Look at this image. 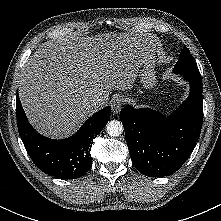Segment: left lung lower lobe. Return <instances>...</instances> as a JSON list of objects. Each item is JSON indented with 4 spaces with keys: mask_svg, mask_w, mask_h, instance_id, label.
Instances as JSON below:
<instances>
[{
    "mask_svg": "<svg viewBox=\"0 0 221 221\" xmlns=\"http://www.w3.org/2000/svg\"><path fill=\"white\" fill-rule=\"evenodd\" d=\"M188 99L169 117L126 106L120 112L134 167L143 175H171L185 163L200 136L203 120L201 75L185 74Z\"/></svg>",
    "mask_w": 221,
    "mask_h": 221,
    "instance_id": "left-lung-lower-lobe-1",
    "label": "left lung lower lobe"
}]
</instances>
